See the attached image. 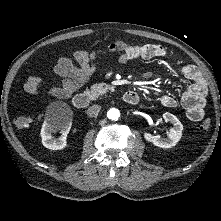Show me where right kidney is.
Listing matches in <instances>:
<instances>
[{
	"label": "right kidney",
	"mask_w": 221,
	"mask_h": 221,
	"mask_svg": "<svg viewBox=\"0 0 221 221\" xmlns=\"http://www.w3.org/2000/svg\"><path fill=\"white\" fill-rule=\"evenodd\" d=\"M71 123L65 122V123H58V122H52L47 121L43 124L41 129V138H42V144L51 150H61L67 146L66 137L70 130ZM59 127L61 129V137L58 139H55L52 136V132L54 131V128Z\"/></svg>",
	"instance_id": "right-kidney-1"
}]
</instances>
